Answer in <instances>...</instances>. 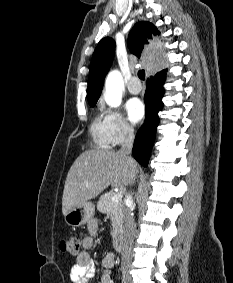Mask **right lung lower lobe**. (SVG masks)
I'll return each mask as SVG.
<instances>
[{
  "label": "right lung lower lobe",
  "instance_id": "obj_1",
  "mask_svg": "<svg viewBox=\"0 0 233 283\" xmlns=\"http://www.w3.org/2000/svg\"><path fill=\"white\" fill-rule=\"evenodd\" d=\"M165 70L150 76L145 92L147 115L143 127L138 131L134 142L132 154L143 166H147L151 148L155 139L156 127L159 123L158 112L162 109L161 98L164 95L163 84Z\"/></svg>",
  "mask_w": 233,
  "mask_h": 283
}]
</instances>
